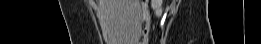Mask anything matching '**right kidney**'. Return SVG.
Segmentation results:
<instances>
[{
	"instance_id": "ca27d5eb",
	"label": "right kidney",
	"mask_w": 261,
	"mask_h": 44,
	"mask_svg": "<svg viewBox=\"0 0 261 44\" xmlns=\"http://www.w3.org/2000/svg\"><path fill=\"white\" fill-rule=\"evenodd\" d=\"M162 0H152L151 1V7L155 11V14L157 16H161L162 14Z\"/></svg>"
}]
</instances>
